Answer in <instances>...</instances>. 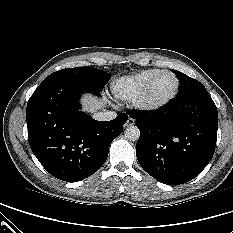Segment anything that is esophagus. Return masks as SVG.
Masks as SVG:
<instances>
[{
  "mask_svg": "<svg viewBox=\"0 0 233 233\" xmlns=\"http://www.w3.org/2000/svg\"><path fill=\"white\" fill-rule=\"evenodd\" d=\"M135 124V120L134 119H132L131 117H129L128 119H127V121H126V126H132V125H134Z\"/></svg>",
  "mask_w": 233,
  "mask_h": 233,
  "instance_id": "34e87169",
  "label": "esophagus"
}]
</instances>
